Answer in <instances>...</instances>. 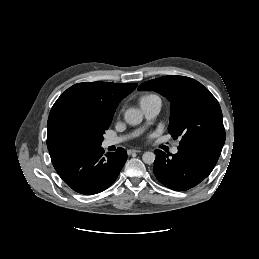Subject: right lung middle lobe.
<instances>
[{"mask_svg": "<svg viewBox=\"0 0 259 259\" xmlns=\"http://www.w3.org/2000/svg\"><path fill=\"white\" fill-rule=\"evenodd\" d=\"M109 125L82 116H69L62 123L61 138L67 148L101 146L103 134Z\"/></svg>", "mask_w": 259, "mask_h": 259, "instance_id": "right-lung-middle-lobe-1", "label": "right lung middle lobe"}]
</instances>
